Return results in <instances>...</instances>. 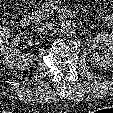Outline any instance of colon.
Instances as JSON below:
<instances>
[{
	"mask_svg": "<svg viewBox=\"0 0 113 113\" xmlns=\"http://www.w3.org/2000/svg\"><path fill=\"white\" fill-rule=\"evenodd\" d=\"M8 39L9 33L7 29L3 26V24L0 22V51H2L6 47Z\"/></svg>",
	"mask_w": 113,
	"mask_h": 113,
	"instance_id": "5ec220e1",
	"label": "colon"
}]
</instances>
